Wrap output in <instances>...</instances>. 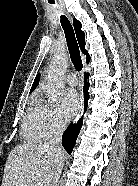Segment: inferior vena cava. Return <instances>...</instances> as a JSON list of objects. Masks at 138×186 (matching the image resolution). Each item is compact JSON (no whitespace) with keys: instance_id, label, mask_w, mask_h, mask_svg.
I'll list each match as a JSON object with an SVG mask.
<instances>
[{"instance_id":"602c4592","label":"inferior vena cava","mask_w":138,"mask_h":186,"mask_svg":"<svg viewBox=\"0 0 138 186\" xmlns=\"http://www.w3.org/2000/svg\"><path fill=\"white\" fill-rule=\"evenodd\" d=\"M66 129V123L65 122H59L56 126V132L52 139L48 142L50 146L57 147L58 149H61V140L62 135ZM63 168V158L60 157L58 160L55 161L54 165L52 166V169L46 179L45 186H58V180L61 174Z\"/></svg>"}]
</instances>
